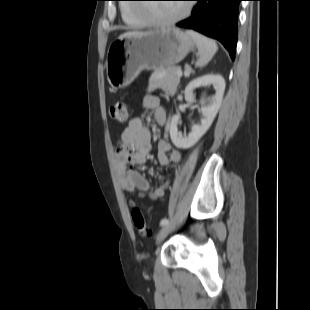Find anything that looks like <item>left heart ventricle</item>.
I'll use <instances>...</instances> for the list:
<instances>
[{
    "label": "left heart ventricle",
    "mask_w": 310,
    "mask_h": 310,
    "mask_svg": "<svg viewBox=\"0 0 310 310\" xmlns=\"http://www.w3.org/2000/svg\"><path fill=\"white\" fill-rule=\"evenodd\" d=\"M183 9V6L175 4H156L146 10L157 19L168 20L178 16Z\"/></svg>",
    "instance_id": "obj_1"
}]
</instances>
